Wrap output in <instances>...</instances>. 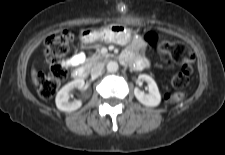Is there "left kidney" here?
<instances>
[{"instance_id": "1", "label": "left kidney", "mask_w": 225, "mask_h": 155, "mask_svg": "<svg viewBox=\"0 0 225 155\" xmlns=\"http://www.w3.org/2000/svg\"><path fill=\"white\" fill-rule=\"evenodd\" d=\"M146 81L149 87V93L146 94L137 87L134 89V95L137 100L145 106L156 107L161 102V94L154 79L146 74H140L138 76V83Z\"/></svg>"}]
</instances>
